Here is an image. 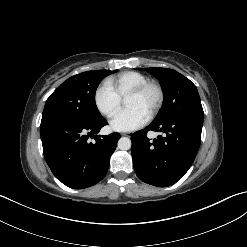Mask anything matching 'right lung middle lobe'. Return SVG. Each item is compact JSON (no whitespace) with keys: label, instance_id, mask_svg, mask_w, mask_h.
<instances>
[{"label":"right lung middle lobe","instance_id":"right-lung-middle-lobe-1","mask_svg":"<svg viewBox=\"0 0 247 247\" xmlns=\"http://www.w3.org/2000/svg\"><path fill=\"white\" fill-rule=\"evenodd\" d=\"M118 70H93L64 81L47 99L41 123L65 119L91 124L102 119L95 103L99 83Z\"/></svg>","mask_w":247,"mask_h":247}]
</instances>
